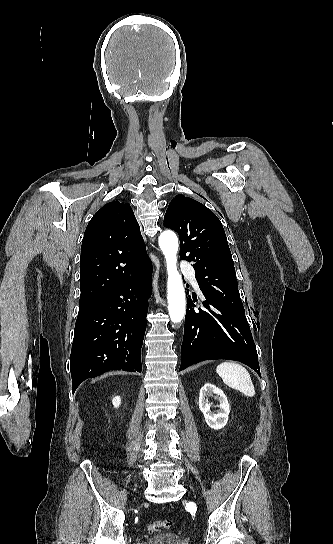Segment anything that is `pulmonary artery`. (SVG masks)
<instances>
[{
  "label": "pulmonary artery",
  "instance_id": "obj_1",
  "mask_svg": "<svg viewBox=\"0 0 333 544\" xmlns=\"http://www.w3.org/2000/svg\"><path fill=\"white\" fill-rule=\"evenodd\" d=\"M181 271L188 279L191 280L194 286H197L195 271L192 266H190L188 263H182Z\"/></svg>",
  "mask_w": 333,
  "mask_h": 544
}]
</instances>
